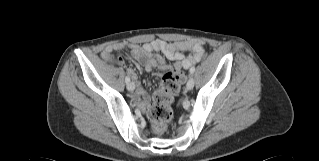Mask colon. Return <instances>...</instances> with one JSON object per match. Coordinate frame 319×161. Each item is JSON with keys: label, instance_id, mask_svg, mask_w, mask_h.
<instances>
[{"label": "colon", "instance_id": "obj_1", "mask_svg": "<svg viewBox=\"0 0 319 161\" xmlns=\"http://www.w3.org/2000/svg\"><path fill=\"white\" fill-rule=\"evenodd\" d=\"M109 60L117 63L122 61L119 56L114 54L109 55ZM181 81V70L175 67L163 75L159 88L153 94V99L147 108V112L158 132L172 118V103Z\"/></svg>", "mask_w": 319, "mask_h": 161}]
</instances>
